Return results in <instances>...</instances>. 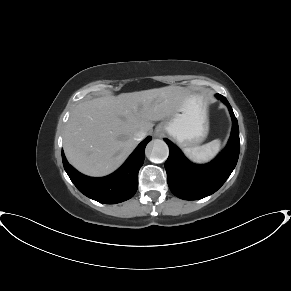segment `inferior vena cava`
<instances>
[{
    "label": "inferior vena cava",
    "instance_id": "obj_1",
    "mask_svg": "<svg viewBox=\"0 0 291 291\" xmlns=\"http://www.w3.org/2000/svg\"><path fill=\"white\" fill-rule=\"evenodd\" d=\"M145 137H146V133L144 131H137L134 134V140L137 142L143 140Z\"/></svg>",
    "mask_w": 291,
    "mask_h": 291
}]
</instances>
